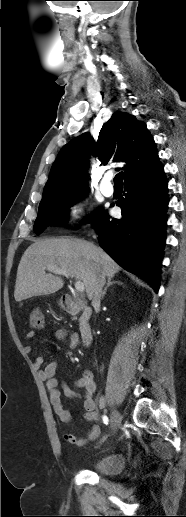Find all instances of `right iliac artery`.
I'll list each match as a JSON object with an SVG mask.
<instances>
[{
  "label": "right iliac artery",
  "instance_id": "obj_1",
  "mask_svg": "<svg viewBox=\"0 0 186 517\" xmlns=\"http://www.w3.org/2000/svg\"><path fill=\"white\" fill-rule=\"evenodd\" d=\"M102 419H103V422H104L105 424H108L109 419H108V417H107L106 415H103Z\"/></svg>",
  "mask_w": 186,
  "mask_h": 517
}]
</instances>
